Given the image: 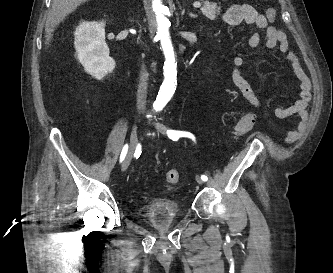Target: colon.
Here are the masks:
<instances>
[{"label":"colon","mask_w":333,"mask_h":273,"mask_svg":"<svg viewBox=\"0 0 333 273\" xmlns=\"http://www.w3.org/2000/svg\"><path fill=\"white\" fill-rule=\"evenodd\" d=\"M266 16L269 21H274L276 19L277 13L275 9H268L266 11ZM256 116L253 114H244L237 122L234 128L235 136L239 137L245 135L252 130L256 123ZM179 174L175 170H170L166 173V182L170 187L175 186L179 183Z\"/></svg>","instance_id":"obj_1"}]
</instances>
